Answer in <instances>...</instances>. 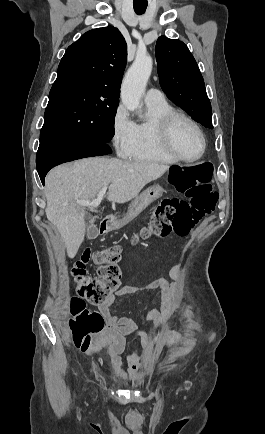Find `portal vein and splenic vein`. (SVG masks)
Returning <instances> with one entry per match:
<instances>
[{
  "instance_id": "1",
  "label": "portal vein and splenic vein",
  "mask_w": 265,
  "mask_h": 434,
  "mask_svg": "<svg viewBox=\"0 0 265 434\" xmlns=\"http://www.w3.org/2000/svg\"><path fill=\"white\" fill-rule=\"evenodd\" d=\"M107 186H103L101 188L100 192L97 194L96 200H76V204H79V206H90V208H97V206H100L105 194H106ZM64 206H67V204H64Z\"/></svg>"
}]
</instances>
